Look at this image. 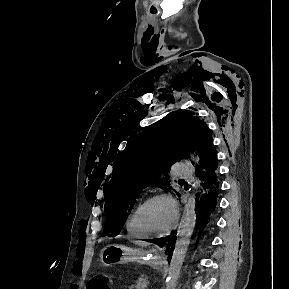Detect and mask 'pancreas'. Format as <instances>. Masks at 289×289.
Instances as JSON below:
<instances>
[{
    "label": "pancreas",
    "instance_id": "obj_1",
    "mask_svg": "<svg viewBox=\"0 0 289 289\" xmlns=\"http://www.w3.org/2000/svg\"><path fill=\"white\" fill-rule=\"evenodd\" d=\"M148 284V280L143 275L138 279L135 285V289H145L144 285Z\"/></svg>",
    "mask_w": 289,
    "mask_h": 289
}]
</instances>
